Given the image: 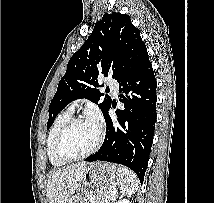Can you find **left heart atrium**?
<instances>
[{"mask_svg": "<svg viewBox=\"0 0 214 203\" xmlns=\"http://www.w3.org/2000/svg\"><path fill=\"white\" fill-rule=\"evenodd\" d=\"M89 120L92 121L93 123H95L96 125H99V123L101 121V116H100L99 112H97V111L91 112L89 115Z\"/></svg>", "mask_w": 214, "mask_h": 203, "instance_id": "obj_1", "label": "left heart atrium"}]
</instances>
